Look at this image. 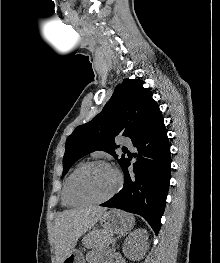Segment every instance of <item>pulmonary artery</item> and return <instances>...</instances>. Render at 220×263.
Here are the masks:
<instances>
[{
  "label": "pulmonary artery",
  "mask_w": 220,
  "mask_h": 263,
  "mask_svg": "<svg viewBox=\"0 0 220 263\" xmlns=\"http://www.w3.org/2000/svg\"><path fill=\"white\" fill-rule=\"evenodd\" d=\"M121 142L124 144V145H126V146H132V142H131V140L129 139V138H122L121 139Z\"/></svg>",
  "instance_id": "e3ab8cb5"
}]
</instances>
